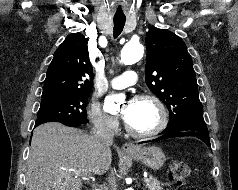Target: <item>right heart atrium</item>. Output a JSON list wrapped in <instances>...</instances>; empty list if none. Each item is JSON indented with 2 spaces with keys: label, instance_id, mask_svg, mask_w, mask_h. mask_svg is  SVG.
I'll list each match as a JSON object with an SVG mask.
<instances>
[{
  "label": "right heart atrium",
  "instance_id": "obj_1",
  "mask_svg": "<svg viewBox=\"0 0 238 190\" xmlns=\"http://www.w3.org/2000/svg\"><path fill=\"white\" fill-rule=\"evenodd\" d=\"M89 121L98 129L115 131L118 128V120L115 116L103 111L97 102H91L87 107Z\"/></svg>",
  "mask_w": 238,
  "mask_h": 190
}]
</instances>
